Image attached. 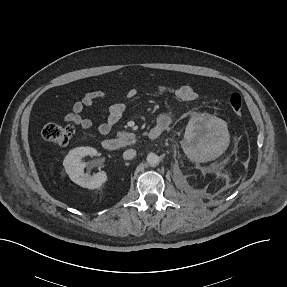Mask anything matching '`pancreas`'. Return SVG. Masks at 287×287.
Instances as JSON below:
<instances>
[{"instance_id": "obj_1", "label": "pancreas", "mask_w": 287, "mask_h": 287, "mask_svg": "<svg viewBox=\"0 0 287 287\" xmlns=\"http://www.w3.org/2000/svg\"><path fill=\"white\" fill-rule=\"evenodd\" d=\"M117 136L123 142L124 145L134 144L136 142V135L129 132H118Z\"/></svg>"}]
</instances>
